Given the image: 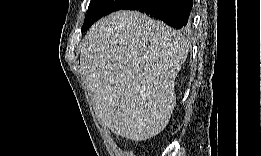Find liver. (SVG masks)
<instances>
[{"label":"liver","mask_w":261,"mask_h":156,"mask_svg":"<svg viewBox=\"0 0 261 156\" xmlns=\"http://www.w3.org/2000/svg\"><path fill=\"white\" fill-rule=\"evenodd\" d=\"M189 42L162 21L120 10L81 43L80 67L101 124L132 141L161 133L175 105V79Z\"/></svg>","instance_id":"1"}]
</instances>
